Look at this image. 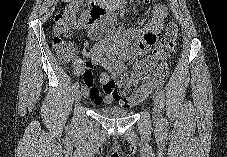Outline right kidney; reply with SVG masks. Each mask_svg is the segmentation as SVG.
<instances>
[{
  "mask_svg": "<svg viewBox=\"0 0 227 157\" xmlns=\"http://www.w3.org/2000/svg\"><path fill=\"white\" fill-rule=\"evenodd\" d=\"M78 11L79 9L75 5H69L65 8L64 15L67 18L68 22L74 27H77V25L80 23V20H78L76 16Z\"/></svg>",
  "mask_w": 227,
  "mask_h": 157,
  "instance_id": "1",
  "label": "right kidney"
}]
</instances>
